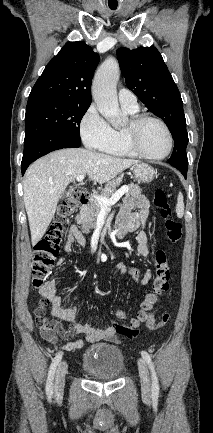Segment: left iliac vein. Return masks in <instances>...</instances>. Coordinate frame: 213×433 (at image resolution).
I'll return each instance as SVG.
<instances>
[{
  "mask_svg": "<svg viewBox=\"0 0 213 433\" xmlns=\"http://www.w3.org/2000/svg\"><path fill=\"white\" fill-rule=\"evenodd\" d=\"M138 370L141 380V390L144 397L148 398L150 396V379L147 365L144 359L140 358L138 360Z\"/></svg>",
  "mask_w": 213,
  "mask_h": 433,
  "instance_id": "4c4485c4",
  "label": "left iliac vein"
}]
</instances>
